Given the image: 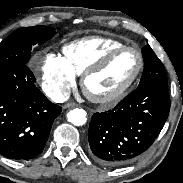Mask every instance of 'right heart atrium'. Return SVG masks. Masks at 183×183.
<instances>
[{
  "instance_id": "obj_1",
  "label": "right heart atrium",
  "mask_w": 183,
  "mask_h": 183,
  "mask_svg": "<svg viewBox=\"0 0 183 183\" xmlns=\"http://www.w3.org/2000/svg\"><path fill=\"white\" fill-rule=\"evenodd\" d=\"M44 91L54 100L62 101L75 86V74L66 66L63 57L45 53L35 58Z\"/></svg>"
}]
</instances>
